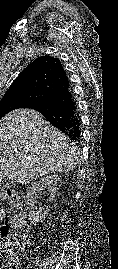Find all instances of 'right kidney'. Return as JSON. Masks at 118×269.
Masks as SVG:
<instances>
[{
    "label": "right kidney",
    "instance_id": "right-kidney-1",
    "mask_svg": "<svg viewBox=\"0 0 118 269\" xmlns=\"http://www.w3.org/2000/svg\"><path fill=\"white\" fill-rule=\"evenodd\" d=\"M60 184L61 180L58 175H49L42 178L40 181L33 183L29 187L25 203L26 208L29 211V220L32 223H41L49 211V206L37 208V199L39 197V194L47 188L49 194V201L52 202L59 191Z\"/></svg>",
    "mask_w": 118,
    "mask_h": 269
}]
</instances>
